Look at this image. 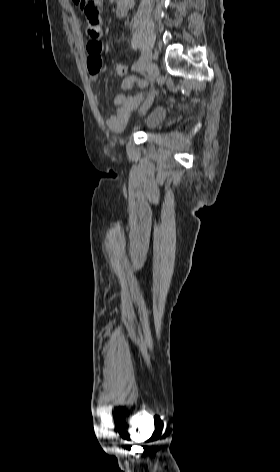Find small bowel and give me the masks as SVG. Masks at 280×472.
I'll use <instances>...</instances> for the list:
<instances>
[{"label":"small bowel","instance_id":"small-bowel-1","mask_svg":"<svg viewBox=\"0 0 280 472\" xmlns=\"http://www.w3.org/2000/svg\"><path fill=\"white\" fill-rule=\"evenodd\" d=\"M124 8L126 12L132 7V0H118L117 8ZM86 33L88 36L87 51V69L91 80L96 81L101 72L102 60V29L99 22H91L88 20ZM138 85L141 88L146 86L144 80L138 79L134 76L127 77L122 82L124 90L130 89L133 85ZM143 94H119L115 97L114 103L116 106L114 114L109 118L108 125L111 128L119 127L128 116L132 108L141 101Z\"/></svg>","mask_w":280,"mask_h":472}]
</instances>
